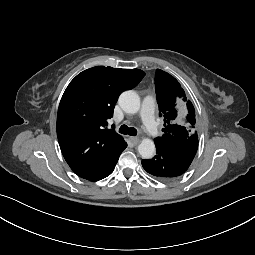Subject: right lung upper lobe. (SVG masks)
Returning a JSON list of instances; mask_svg holds the SVG:
<instances>
[{
    "label": "right lung upper lobe",
    "instance_id": "cb5924a9",
    "mask_svg": "<svg viewBox=\"0 0 255 255\" xmlns=\"http://www.w3.org/2000/svg\"><path fill=\"white\" fill-rule=\"evenodd\" d=\"M144 76L139 69L96 66L78 74L66 88L57 113V137L78 176L94 174L127 147L122 136L105 126L119 95Z\"/></svg>",
    "mask_w": 255,
    "mask_h": 255
}]
</instances>
